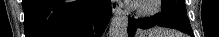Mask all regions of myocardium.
Returning <instances> with one entry per match:
<instances>
[{"label":"myocardium","instance_id":"f54148a6","mask_svg":"<svg viewBox=\"0 0 219 37\" xmlns=\"http://www.w3.org/2000/svg\"><path fill=\"white\" fill-rule=\"evenodd\" d=\"M157 4H158L157 0L140 1L136 5L135 10L139 16L147 17L153 14L157 10Z\"/></svg>","mask_w":219,"mask_h":37}]
</instances>
